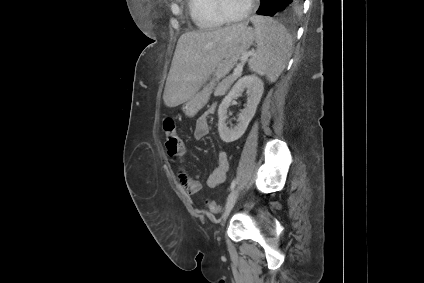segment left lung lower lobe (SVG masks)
Wrapping results in <instances>:
<instances>
[{
    "instance_id": "left-lung-lower-lobe-1",
    "label": "left lung lower lobe",
    "mask_w": 424,
    "mask_h": 283,
    "mask_svg": "<svg viewBox=\"0 0 424 283\" xmlns=\"http://www.w3.org/2000/svg\"><path fill=\"white\" fill-rule=\"evenodd\" d=\"M257 14L264 16L292 15L301 10L304 0H260Z\"/></svg>"
}]
</instances>
